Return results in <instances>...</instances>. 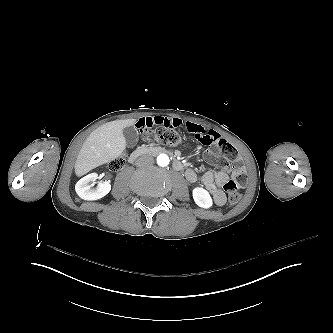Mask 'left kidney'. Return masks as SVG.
Masks as SVG:
<instances>
[{
	"label": "left kidney",
	"mask_w": 333,
	"mask_h": 333,
	"mask_svg": "<svg viewBox=\"0 0 333 333\" xmlns=\"http://www.w3.org/2000/svg\"><path fill=\"white\" fill-rule=\"evenodd\" d=\"M193 199L195 203L201 208L207 209L210 208L213 204L208 191L200 187L193 189Z\"/></svg>",
	"instance_id": "obj_1"
}]
</instances>
